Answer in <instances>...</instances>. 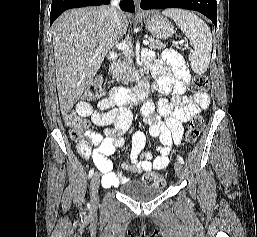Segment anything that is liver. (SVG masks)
<instances>
[{
	"mask_svg": "<svg viewBox=\"0 0 257 237\" xmlns=\"http://www.w3.org/2000/svg\"><path fill=\"white\" fill-rule=\"evenodd\" d=\"M120 19L121 34L104 6L72 9L54 22L56 83L62 115H66L81 98L108 51L119 44L126 33L127 15L120 12Z\"/></svg>",
	"mask_w": 257,
	"mask_h": 237,
	"instance_id": "1",
	"label": "liver"
}]
</instances>
